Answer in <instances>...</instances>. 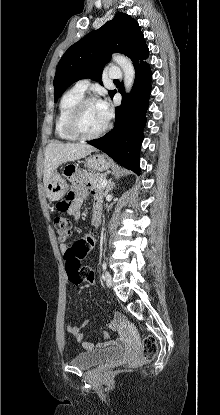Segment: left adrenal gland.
Here are the masks:
<instances>
[{"instance_id":"obj_1","label":"left adrenal gland","mask_w":220,"mask_h":415,"mask_svg":"<svg viewBox=\"0 0 220 415\" xmlns=\"http://www.w3.org/2000/svg\"><path fill=\"white\" fill-rule=\"evenodd\" d=\"M113 186H114V182L112 181V179H110L108 181V185H107V188H106L105 195L108 194V192H110L113 189Z\"/></svg>"}]
</instances>
